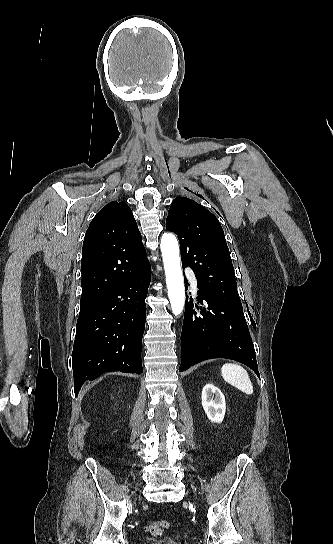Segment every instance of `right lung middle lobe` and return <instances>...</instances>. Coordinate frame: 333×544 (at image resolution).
<instances>
[{
	"label": "right lung middle lobe",
	"mask_w": 333,
	"mask_h": 544,
	"mask_svg": "<svg viewBox=\"0 0 333 544\" xmlns=\"http://www.w3.org/2000/svg\"><path fill=\"white\" fill-rule=\"evenodd\" d=\"M80 304H81V306H82V305H85V304H87V303H84V302H80Z\"/></svg>",
	"instance_id": "right-lung-middle-lobe-1"
}]
</instances>
